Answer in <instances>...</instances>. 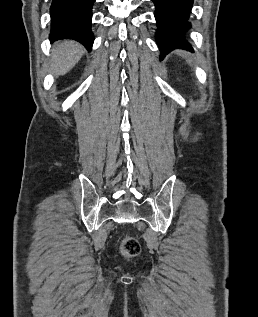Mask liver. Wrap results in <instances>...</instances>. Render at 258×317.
I'll use <instances>...</instances> for the list:
<instances>
[{
    "label": "liver",
    "instance_id": "liver-1",
    "mask_svg": "<svg viewBox=\"0 0 258 317\" xmlns=\"http://www.w3.org/2000/svg\"><path fill=\"white\" fill-rule=\"evenodd\" d=\"M83 52L84 48L82 44H79L76 40L56 42L51 56L52 62L50 68L52 72H55L56 76L66 74L80 60Z\"/></svg>",
    "mask_w": 258,
    "mask_h": 317
}]
</instances>
